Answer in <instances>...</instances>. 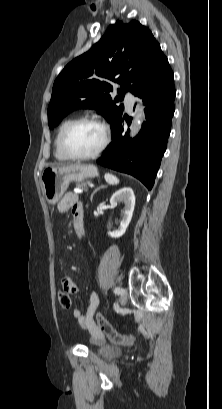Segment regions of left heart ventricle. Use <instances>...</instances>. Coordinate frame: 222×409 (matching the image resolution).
<instances>
[{
    "instance_id": "b2bd125f",
    "label": "left heart ventricle",
    "mask_w": 222,
    "mask_h": 409,
    "mask_svg": "<svg viewBox=\"0 0 222 409\" xmlns=\"http://www.w3.org/2000/svg\"><path fill=\"white\" fill-rule=\"evenodd\" d=\"M103 130L93 123H85L76 127L68 136L67 147L76 155L94 153L102 144Z\"/></svg>"
}]
</instances>
